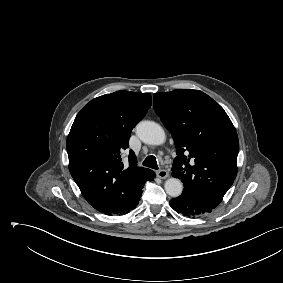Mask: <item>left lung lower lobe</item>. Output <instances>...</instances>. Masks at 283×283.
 <instances>
[{
    "label": "left lung lower lobe",
    "instance_id": "0a47b994",
    "mask_svg": "<svg viewBox=\"0 0 283 283\" xmlns=\"http://www.w3.org/2000/svg\"><path fill=\"white\" fill-rule=\"evenodd\" d=\"M170 206L179 214L185 217H196L210 213L216 207L207 203L200 196L183 191V193L170 200Z\"/></svg>",
    "mask_w": 283,
    "mask_h": 283
}]
</instances>
